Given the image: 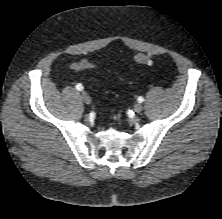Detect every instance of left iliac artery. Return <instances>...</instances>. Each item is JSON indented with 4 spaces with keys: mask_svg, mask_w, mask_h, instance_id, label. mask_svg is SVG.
I'll list each match as a JSON object with an SVG mask.
<instances>
[{
    "mask_svg": "<svg viewBox=\"0 0 222 219\" xmlns=\"http://www.w3.org/2000/svg\"><path fill=\"white\" fill-rule=\"evenodd\" d=\"M144 101V98L142 96L138 97V102L142 103Z\"/></svg>",
    "mask_w": 222,
    "mask_h": 219,
    "instance_id": "1",
    "label": "left iliac artery"
}]
</instances>
